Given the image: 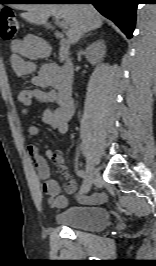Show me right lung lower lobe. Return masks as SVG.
Here are the masks:
<instances>
[{"label":"right lung lower lobe","instance_id":"1","mask_svg":"<svg viewBox=\"0 0 156 266\" xmlns=\"http://www.w3.org/2000/svg\"><path fill=\"white\" fill-rule=\"evenodd\" d=\"M46 2L55 4H93L102 15L114 21L130 39L134 31L139 0H46Z\"/></svg>","mask_w":156,"mask_h":266}]
</instances>
